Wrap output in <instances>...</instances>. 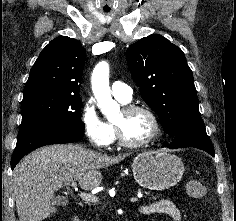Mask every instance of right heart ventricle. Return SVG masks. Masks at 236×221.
Wrapping results in <instances>:
<instances>
[{
  "instance_id": "right-heart-ventricle-1",
  "label": "right heart ventricle",
  "mask_w": 236,
  "mask_h": 221,
  "mask_svg": "<svg viewBox=\"0 0 236 221\" xmlns=\"http://www.w3.org/2000/svg\"><path fill=\"white\" fill-rule=\"evenodd\" d=\"M120 102H121V101H120ZM122 103H123V102H122ZM107 125H108V127H109V129H110V131H111V139H112V141H113V140L115 139V137H116L114 125H113L112 122H107Z\"/></svg>"
}]
</instances>
